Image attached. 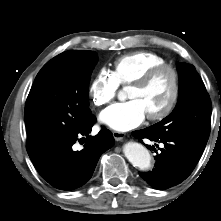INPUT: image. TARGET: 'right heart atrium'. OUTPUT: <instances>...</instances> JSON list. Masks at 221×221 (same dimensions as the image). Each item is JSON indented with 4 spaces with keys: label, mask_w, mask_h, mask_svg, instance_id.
I'll return each mask as SVG.
<instances>
[{
    "label": "right heart atrium",
    "mask_w": 221,
    "mask_h": 221,
    "mask_svg": "<svg viewBox=\"0 0 221 221\" xmlns=\"http://www.w3.org/2000/svg\"><path fill=\"white\" fill-rule=\"evenodd\" d=\"M119 85L111 73L101 70L89 85V95L95 106L111 103L117 95Z\"/></svg>",
    "instance_id": "obj_1"
}]
</instances>
